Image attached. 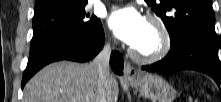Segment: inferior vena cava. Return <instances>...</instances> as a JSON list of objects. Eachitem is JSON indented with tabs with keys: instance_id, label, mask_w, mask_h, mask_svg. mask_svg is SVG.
Segmentation results:
<instances>
[{
	"instance_id": "1",
	"label": "inferior vena cava",
	"mask_w": 221,
	"mask_h": 102,
	"mask_svg": "<svg viewBox=\"0 0 221 102\" xmlns=\"http://www.w3.org/2000/svg\"><path fill=\"white\" fill-rule=\"evenodd\" d=\"M110 56L111 47L110 44L106 43L92 62V66L96 69L98 75L99 100L97 102H106L104 87L110 77Z\"/></svg>"
}]
</instances>
